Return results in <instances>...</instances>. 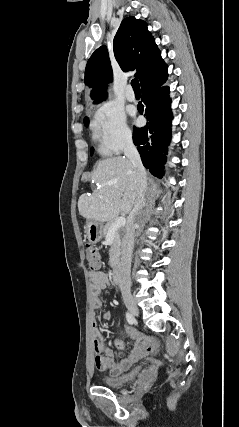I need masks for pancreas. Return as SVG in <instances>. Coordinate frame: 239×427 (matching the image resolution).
Wrapping results in <instances>:
<instances>
[{
  "label": "pancreas",
  "instance_id": "obj_1",
  "mask_svg": "<svg viewBox=\"0 0 239 427\" xmlns=\"http://www.w3.org/2000/svg\"><path fill=\"white\" fill-rule=\"evenodd\" d=\"M114 222H115L114 220L109 221V222L104 226V236H107V235H108V233H109V231H110V228H111V226H112V224H113ZM123 231H124V229H123V228H118V229L115 231V233H114L113 241H112V243H111V247H110V250H109V257H110L109 264H110L111 266L115 265V263H116V261H117V259H118V257H119V253H120V246H121V236H122V234H123Z\"/></svg>",
  "mask_w": 239,
  "mask_h": 427
}]
</instances>
